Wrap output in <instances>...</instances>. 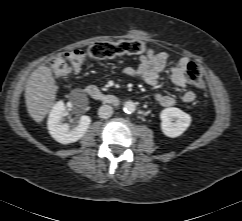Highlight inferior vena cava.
Masks as SVG:
<instances>
[{
	"mask_svg": "<svg viewBox=\"0 0 242 221\" xmlns=\"http://www.w3.org/2000/svg\"><path fill=\"white\" fill-rule=\"evenodd\" d=\"M113 114V108L110 105H102L98 110V115L100 118L107 119Z\"/></svg>",
	"mask_w": 242,
	"mask_h": 221,
	"instance_id": "1",
	"label": "inferior vena cava"
}]
</instances>
